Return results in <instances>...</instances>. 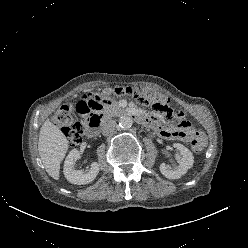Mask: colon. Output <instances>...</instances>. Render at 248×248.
I'll use <instances>...</instances> for the list:
<instances>
[{
  "instance_id": "5ec220e1",
  "label": "colon",
  "mask_w": 248,
  "mask_h": 248,
  "mask_svg": "<svg viewBox=\"0 0 248 248\" xmlns=\"http://www.w3.org/2000/svg\"><path fill=\"white\" fill-rule=\"evenodd\" d=\"M114 93L118 95L124 93L133 94L138 102L150 106L166 122L183 116L182 112L176 111L170 106V101L166 96L155 91H140L131 87H123L116 88ZM74 110L80 116V120L75 119L73 108L66 105L60 107L53 116L54 123L61 128L72 146H76L82 141L84 125L92 115L91 109L85 106L83 99L76 103ZM204 147L205 139L201 137L194 138L191 142V149L194 153H201Z\"/></svg>"
}]
</instances>
